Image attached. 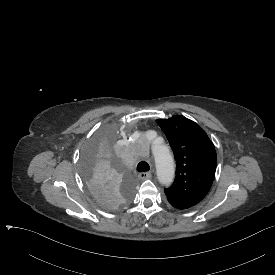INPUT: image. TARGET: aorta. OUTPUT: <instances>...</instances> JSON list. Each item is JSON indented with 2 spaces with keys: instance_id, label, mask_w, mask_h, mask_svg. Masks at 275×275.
Listing matches in <instances>:
<instances>
[{
  "instance_id": "aorta-1",
  "label": "aorta",
  "mask_w": 275,
  "mask_h": 275,
  "mask_svg": "<svg viewBox=\"0 0 275 275\" xmlns=\"http://www.w3.org/2000/svg\"><path fill=\"white\" fill-rule=\"evenodd\" d=\"M147 146L146 154L150 163L156 167V176L160 185L168 187L175 179V163L173 156L164 142L163 133L157 128L148 129L143 135Z\"/></svg>"
}]
</instances>
